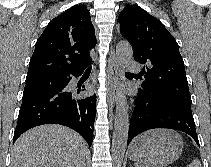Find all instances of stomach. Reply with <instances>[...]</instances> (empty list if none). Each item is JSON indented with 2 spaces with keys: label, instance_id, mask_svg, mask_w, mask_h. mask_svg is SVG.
I'll list each match as a JSON object with an SVG mask.
<instances>
[{
  "label": "stomach",
  "instance_id": "obj_1",
  "mask_svg": "<svg viewBox=\"0 0 211 167\" xmlns=\"http://www.w3.org/2000/svg\"><path fill=\"white\" fill-rule=\"evenodd\" d=\"M181 136L169 129H155L139 135L129 147L131 160L143 167H167L182 153Z\"/></svg>",
  "mask_w": 211,
  "mask_h": 167
}]
</instances>
